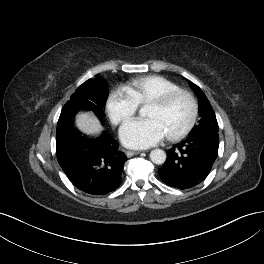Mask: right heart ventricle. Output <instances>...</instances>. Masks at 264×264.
Here are the masks:
<instances>
[{
	"instance_id": "right-heart-ventricle-1",
	"label": "right heart ventricle",
	"mask_w": 264,
	"mask_h": 264,
	"mask_svg": "<svg viewBox=\"0 0 264 264\" xmlns=\"http://www.w3.org/2000/svg\"><path fill=\"white\" fill-rule=\"evenodd\" d=\"M126 89L137 105H143L167 92L179 89V85L161 75H147L132 80Z\"/></svg>"
}]
</instances>
